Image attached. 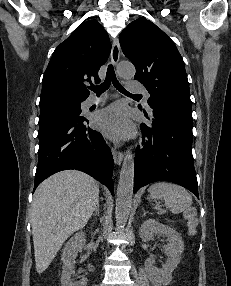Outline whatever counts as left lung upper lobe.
<instances>
[{"instance_id": "1", "label": "left lung upper lobe", "mask_w": 231, "mask_h": 286, "mask_svg": "<svg viewBox=\"0 0 231 286\" xmlns=\"http://www.w3.org/2000/svg\"><path fill=\"white\" fill-rule=\"evenodd\" d=\"M119 41L136 67L135 79L151 94L149 105L153 100H167L191 106L184 62L168 35L142 17L121 32Z\"/></svg>"}]
</instances>
